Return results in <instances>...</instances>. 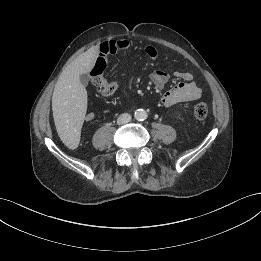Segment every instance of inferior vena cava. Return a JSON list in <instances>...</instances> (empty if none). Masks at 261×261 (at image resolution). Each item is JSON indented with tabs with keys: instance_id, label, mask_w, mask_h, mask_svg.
I'll return each instance as SVG.
<instances>
[{
	"instance_id": "inferior-vena-cava-1",
	"label": "inferior vena cava",
	"mask_w": 261,
	"mask_h": 261,
	"mask_svg": "<svg viewBox=\"0 0 261 261\" xmlns=\"http://www.w3.org/2000/svg\"><path fill=\"white\" fill-rule=\"evenodd\" d=\"M131 121V115L128 114V113H123L121 114L118 119H117V123L119 125H122V124H127Z\"/></svg>"
}]
</instances>
